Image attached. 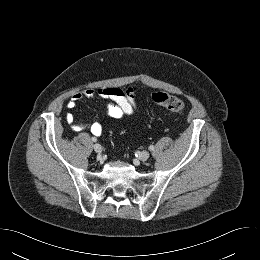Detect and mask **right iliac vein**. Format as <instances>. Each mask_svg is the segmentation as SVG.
<instances>
[{
    "label": "right iliac vein",
    "mask_w": 260,
    "mask_h": 260,
    "mask_svg": "<svg viewBox=\"0 0 260 260\" xmlns=\"http://www.w3.org/2000/svg\"><path fill=\"white\" fill-rule=\"evenodd\" d=\"M93 148H94V150H95L96 153H98V154H101V153H102V147H101L100 144H98V143L94 144V145H93Z\"/></svg>",
    "instance_id": "right-iliac-vein-1"
}]
</instances>
